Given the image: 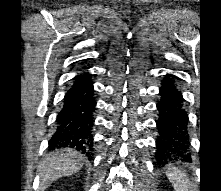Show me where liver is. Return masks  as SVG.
I'll list each match as a JSON object with an SVG mask.
<instances>
[{
	"label": "liver",
	"instance_id": "liver-1",
	"mask_svg": "<svg viewBox=\"0 0 221 191\" xmlns=\"http://www.w3.org/2000/svg\"><path fill=\"white\" fill-rule=\"evenodd\" d=\"M83 166V156L76 150L64 148L53 152L44 162L40 171L41 188L53 181L78 172Z\"/></svg>",
	"mask_w": 221,
	"mask_h": 191
}]
</instances>
